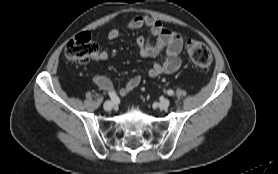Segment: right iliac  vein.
<instances>
[{
    "instance_id": "63e3f726",
    "label": "right iliac vein",
    "mask_w": 278,
    "mask_h": 174,
    "mask_svg": "<svg viewBox=\"0 0 278 174\" xmlns=\"http://www.w3.org/2000/svg\"><path fill=\"white\" fill-rule=\"evenodd\" d=\"M103 107L106 111H111L113 109L114 105L111 101H106L104 103Z\"/></svg>"
}]
</instances>
